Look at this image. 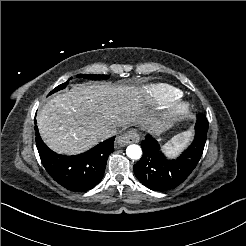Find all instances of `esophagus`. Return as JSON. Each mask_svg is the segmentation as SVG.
<instances>
[{
    "instance_id": "34e87169",
    "label": "esophagus",
    "mask_w": 246,
    "mask_h": 246,
    "mask_svg": "<svg viewBox=\"0 0 246 246\" xmlns=\"http://www.w3.org/2000/svg\"><path fill=\"white\" fill-rule=\"evenodd\" d=\"M140 135L136 129H130L119 136L115 142V148H121L130 143H138Z\"/></svg>"
}]
</instances>
